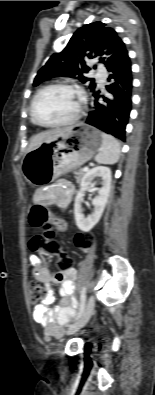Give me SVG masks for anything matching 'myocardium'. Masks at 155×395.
Listing matches in <instances>:
<instances>
[{
    "label": "myocardium",
    "instance_id": "myocardium-1",
    "mask_svg": "<svg viewBox=\"0 0 155 395\" xmlns=\"http://www.w3.org/2000/svg\"><path fill=\"white\" fill-rule=\"evenodd\" d=\"M52 88H66V89H70V90L74 91L78 96V106H77L75 113L69 119L60 121V122H56V123L46 124V123L40 122L36 118L35 103H36V100L38 99V97L43 92H45L46 90L52 89ZM83 106H84L83 94H82L81 89L77 85H75L73 83H69V82H55V83H51V84L43 86L35 93V95L33 96L32 100H31L29 111H30L31 120L35 125H37L39 127H43V128H59V127L70 126V125H73L74 123H76L81 116Z\"/></svg>",
    "mask_w": 155,
    "mask_h": 395
}]
</instances>
